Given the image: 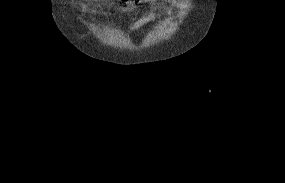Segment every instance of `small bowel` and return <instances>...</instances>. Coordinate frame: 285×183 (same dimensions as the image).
Returning a JSON list of instances; mask_svg holds the SVG:
<instances>
[{
    "instance_id": "obj_1",
    "label": "small bowel",
    "mask_w": 285,
    "mask_h": 183,
    "mask_svg": "<svg viewBox=\"0 0 285 183\" xmlns=\"http://www.w3.org/2000/svg\"><path fill=\"white\" fill-rule=\"evenodd\" d=\"M143 2L153 5L155 4L156 0H143ZM133 3L134 2H123L116 8V10L119 12H132L136 10V6ZM156 18H158V14L155 11H150L133 22L129 27V31L134 32Z\"/></svg>"
}]
</instances>
